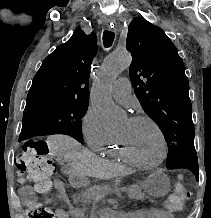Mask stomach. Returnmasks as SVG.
Returning <instances> with one entry per match:
<instances>
[{
	"mask_svg": "<svg viewBox=\"0 0 211 218\" xmlns=\"http://www.w3.org/2000/svg\"><path fill=\"white\" fill-rule=\"evenodd\" d=\"M142 188L149 195L161 197L169 192L170 181L164 173L156 171L144 181Z\"/></svg>",
	"mask_w": 211,
	"mask_h": 218,
	"instance_id": "obj_1",
	"label": "stomach"
}]
</instances>
